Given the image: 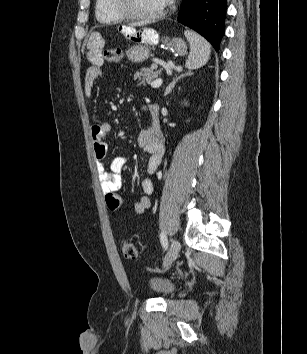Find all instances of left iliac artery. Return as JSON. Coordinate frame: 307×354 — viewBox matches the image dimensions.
<instances>
[{"mask_svg":"<svg viewBox=\"0 0 307 354\" xmlns=\"http://www.w3.org/2000/svg\"><path fill=\"white\" fill-rule=\"evenodd\" d=\"M160 241H161L163 248L167 249L168 248V240H167V236H166L165 231L161 232Z\"/></svg>","mask_w":307,"mask_h":354,"instance_id":"1","label":"left iliac artery"}]
</instances>
